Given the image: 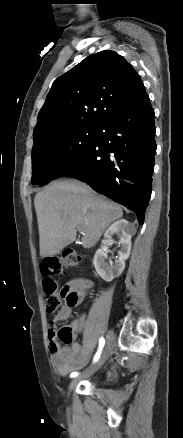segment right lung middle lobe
Here are the masks:
<instances>
[{"mask_svg": "<svg viewBox=\"0 0 183 438\" xmlns=\"http://www.w3.org/2000/svg\"><path fill=\"white\" fill-rule=\"evenodd\" d=\"M98 127L81 126L49 133L34 140L32 184L43 186L94 140Z\"/></svg>", "mask_w": 183, "mask_h": 438, "instance_id": "right-lung-middle-lobe-1", "label": "right lung middle lobe"}]
</instances>
